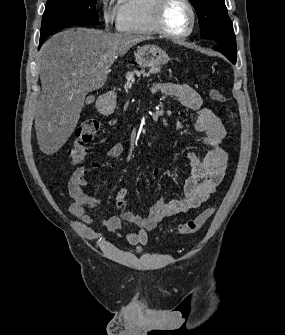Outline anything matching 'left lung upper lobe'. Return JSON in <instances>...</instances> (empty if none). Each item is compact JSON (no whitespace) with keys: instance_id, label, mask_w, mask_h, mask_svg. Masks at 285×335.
Wrapping results in <instances>:
<instances>
[{"instance_id":"1","label":"left lung upper lobe","mask_w":285,"mask_h":335,"mask_svg":"<svg viewBox=\"0 0 285 335\" xmlns=\"http://www.w3.org/2000/svg\"><path fill=\"white\" fill-rule=\"evenodd\" d=\"M199 17L200 35L213 44H235L233 25L227 14L225 0H190Z\"/></svg>"}]
</instances>
